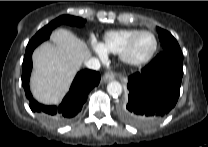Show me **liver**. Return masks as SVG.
Masks as SVG:
<instances>
[{
  "label": "liver",
  "mask_w": 208,
  "mask_h": 147,
  "mask_svg": "<svg viewBox=\"0 0 208 147\" xmlns=\"http://www.w3.org/2000/svg\"><path fill=\"white\" fill-rule=\"evenodd\" d=\"M52 43L45 42L33 53L31 91L41 103H59L76 73L91 56L88 45L66 29H56Z\"/></svg>",
  "instance_id": "obj_1"
}]
</instances>
